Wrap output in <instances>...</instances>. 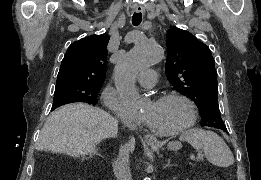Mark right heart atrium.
<instances>
[{
    "label": "right heart atrium",
    "mask_w": 261,
    "mask_h": 180,
    "mask_svg": "<svg viewBox=\"0 0 261 180\" xmlns=\"http://www.w3.org/2000/svg\"><path fill=\"white\" fill-rule=\"evenodd\" d=\"M101 100L103 106L105 108H112V112L117 114V117H123V120H129V125H123V127H133L126 112V105H121L120 98H117V92L112 86L109 85L103 90Z\"/></svg>",
    "instance_id": "1"
}]
</instances>
